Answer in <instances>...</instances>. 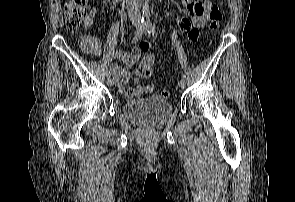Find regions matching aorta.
I'll list each match as a JSON object with an SVG mask.
<instances>
[{
    "instance_id": "762f6f07",
    "label": "aorta",
    "mask_w": 295,
    "mask_h": 202,
    "mask_svg": "<svg viewBox=\"0 0 295 202\" xmlns=\"http://www.w3.org/2000/svg\"><path fill=\"white\" fill-rule=\"evenodd\" d=\"M142 15L144 18L149 17V9H148V5H147V0L145 2V5L143 6Z\"/></svg>"
}]
</instances>
